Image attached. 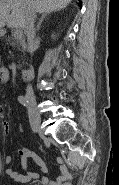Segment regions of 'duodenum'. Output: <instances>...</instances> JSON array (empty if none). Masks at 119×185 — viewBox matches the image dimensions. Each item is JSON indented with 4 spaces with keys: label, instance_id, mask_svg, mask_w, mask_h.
<instances>
[{
    "label": "duodenum",
    "instance_id": "obj_1",
    "mask_svg": "<svg viewBox=\"0 0 119 185\" xmlns=\"http://www.w3.org/2000/svg\"><path fill=\"white\" fill-rule=\"evenodd\" d=\"M33 75V70L29 68H25L21 70V77L23 80H29L31 79Z\"/></svg>",
    "mask_w": 119,
    "mask_h": 185
}]
</instances>
